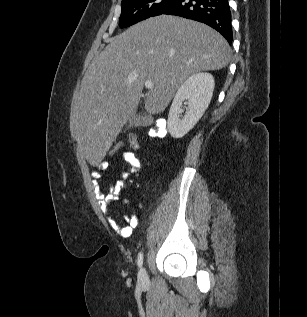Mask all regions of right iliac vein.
I'll use <instances>...</instances> for the list:
<instances>
[{"label": "right iliac vein", "mask_w": 307, "mask_h": 317, "mask_svg": "<svg viewBox=\"0 0 307 317\" xmlns=\"http://www.w3.org/2000/svg\"><path fill=\"white\" fill-rule=\"evenodd\" d=\"M138 283L140 284V286H145L149 283V277L144 268H142L138 273Z\"/></svg>", "instance_id": "obj_1"}]
</instances>
